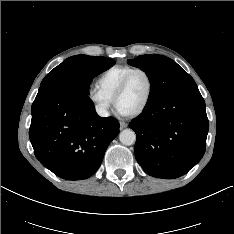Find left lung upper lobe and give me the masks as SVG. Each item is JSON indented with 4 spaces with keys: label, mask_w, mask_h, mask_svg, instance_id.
<instances>
[{
    "label": "left lung upper lobe",
    "mask_w": 234,
    "mask_h": 234,
    "mask_svg": "<svg viewBox=\"0 0 234 234\" xmlns=\"http://www.w3.org/2000/svg\"><path fill=\"white\" fill-rule=\"evenodd\" d=\"M128 64L139 67L149 77L151 93L146 107L153 105L175 88L194 81L176 62L166 56L140 55L129 59Z\"/></svg>",
    "instance_id": "left-lung-upper-lobe-1"
}]
</instances>
